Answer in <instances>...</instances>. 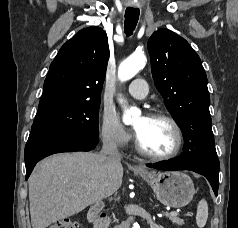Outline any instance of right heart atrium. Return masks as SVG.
<instances>
[{"label":"right heart atrium","instance_id":"d8ad5b80","mask_svg":"<svg viewBox=\"0 0 238 228\" xmlns=\"http://www.w3.org/2000/svg\"><path fill=\"white\" fill-rule=\"evenodd\" d=\"M100 138L102 142L114 148L125 147L130 136L122 127L117 114L111 109H104L100 121Z\"/></svg>","mask_w":238,"mask_h":228}]
</instances>
